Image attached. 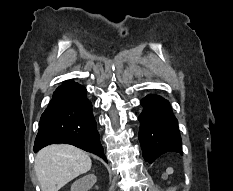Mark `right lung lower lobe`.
I'll return each instance as SVG.
<instances>
[{
    "label": "right lung lower lobe",
    "instance_id": "1",
    "mask_svg": "<svg viewBox=\"0 0 233 191\" xmlns=\"http://www.w3.org/2000/svg\"><path fill=\"white\" fill-rule=\"evenodd\" d=\"M39 125L34 152L49 144L67 143L94 153L107 162L84 86L73 81L60 85Z\"/></svg>",
    "mask_w": 233,
    "mask_h": 191
}]
</instances>
